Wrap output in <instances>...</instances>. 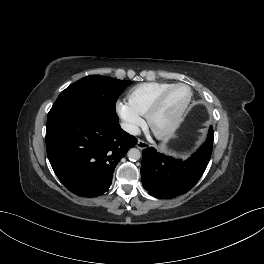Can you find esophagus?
<instances>
[{
  "label": "esophagus",
  "instance_id": "obj_1",
  "mask_svg": "<svg viewBox=\"0 0 264 264\" xmlns=\"http://www.w3.org/2000/svg\"><path fill=\"white\" fill-rule=\"evenodd\" d=\"M137 148H139L140 150H143L145 148L148 147V143L144 142L143 140H138L137 144H136Z\"/></svg>",
  "mask_w": 264,
  "mask_h": 264
}]
</instances>
